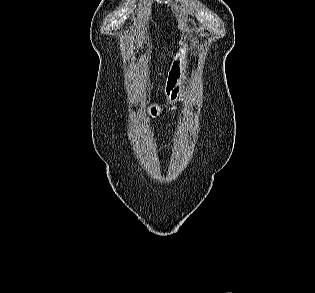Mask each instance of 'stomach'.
Instances as JSON below:
<instances>
[{"mask_svg":"<svg viewBox=\"0 0 315 293\" xmlns=\"http://www.w3.org/2000/svg\"><path fill=\"white\" fill-rule=\"evenodd\" d=\"M189 46L185 44L174 57L167 83L165 86V95L169 103H173L182 97L186 81L189 74V65L187 60ZM161 113V107L154 105L150 109V114L153 117Z\"/></svg>","mask_w":315,"mask_h":293,"instance_id":"0dacf381","label":"stomach"}]
</instances>
